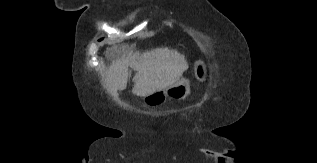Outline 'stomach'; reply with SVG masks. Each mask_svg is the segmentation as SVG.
<instances>
[{
  "label": "stomach",
  "mask_w": 317,
  "mask_h": 163,
  "mask_svg": "<svg viewBox=\"0 0 317 163\" xmlns=\"http://www.w3.org/2000/svg\"><path fill=\"white\" fill-rule=\"evenodd\" d=\"M195 75L199 81H205L207 77V68L203 61L195 63ZM190 93V83L187 79L182 78L174 85L164 90L157 91L153 94L143 97V102L147 106H158L166 101L167 98L174 100H183Z\"/></svg>",
  "instance_id": "obj_1"
}]
</instances>
